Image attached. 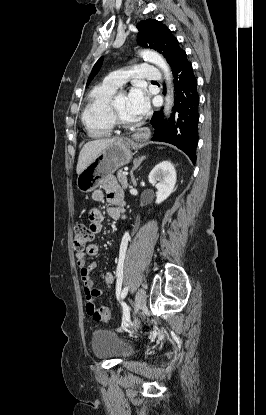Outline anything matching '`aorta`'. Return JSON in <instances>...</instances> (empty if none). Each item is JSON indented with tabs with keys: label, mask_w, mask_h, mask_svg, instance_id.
Wrapping results in <instances>:
<instances>
[{
	"label": "aorta",
	"mask_w": 266,
	"mask_h": 415,
	"mask_svg": "<svg viewBox=\"0 0 266 415\" xmlns=\"http://www.w3.org/2000/svg\"><path fill=\"white\" fill-rule=\"evenodd\" d=\"M141 56L150 63L155 64L158 66L164 73V77L166 79V83L168 86V94L166 96V104H165V113L168 114L172 108L173 100L171 95V80L172 74L170 71V67L165 61V59L155 51L145 50L141 52Z\"/></svg>",
	"instance_id": "aorta-1"
}]
</instances>
